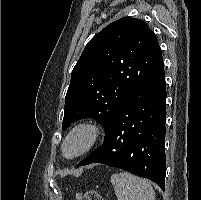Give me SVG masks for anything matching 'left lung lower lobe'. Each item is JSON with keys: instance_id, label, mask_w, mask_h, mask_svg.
<instances>
[{"instance_id": "left-lung-lower-lobe-1", "label": "left lung lower lobe", "mask_w": 201, "mask_h": 200, "mask_svg": "<svg viewBox=\"0 0 201 200\" xmlns=\"http://www.w3.org/2000/svg\"><path fill=\"white\" fill-rule=\"evenodd\" d=\"M166 87L161 58L124 98L105 127V140L77 166L102 163L148 178L165 189Z\"/></svg>"}]
</instances>
